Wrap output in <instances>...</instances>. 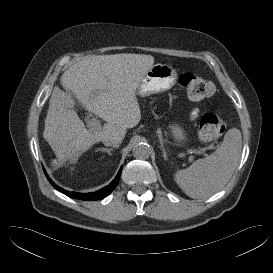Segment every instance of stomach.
Here are the masks:
<instances>
[{
	"instance_id": "stomach-1",
	"label": "stomach",
	"mask_w": 273,
	"mask_h": 273,
	"mask_svg": "<svg viewBox=\"0 0 273 273\" xmlns=\"http://www.w3.org/2000/svg\"><path fill=\"white\" fill-rule=\"evenodd\" d=\"M176 78L177 72L172 66L161 63L155 64L141 79L136 94L145 97L169 90L175 85ZM170 130L176 141L186 140V134L179 126L172 125Z\"/></svg>"
}]
</instances>
